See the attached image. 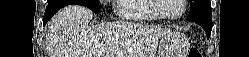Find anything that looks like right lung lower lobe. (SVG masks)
Wrapping results in <instances>:
<instances>
[{
    "mask_svg": "<svg viewBox=\"0 0 249 57\" xmlns=\"http://www.w3.org/2000/svg\"><path fill=\"white\" fill-rule=\"evenodd\" d=\"M66 5H52V4H48L46 7V12L44 14L43 17V24L45 25L46 22L62 7H64Z\"/></svg>",
    "mask_w": 249,
    "mask_h": 57,
    "instance_id": "98d812e1",
    "label": "right lung lower lobe"
}]
</instances>
